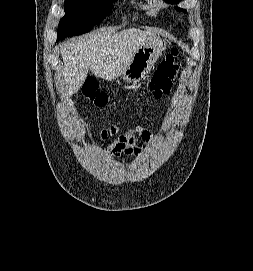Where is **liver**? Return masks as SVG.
<instances>
[{
	"instance_id": "obj_1",
	"label": "liver",
	"mask_w": 253,
	"mask_h": 271,
	"mask_svg": "<svg viewBox=\"0 0 253 271\" xmlns=\"http://www.w3.org/2000/svg\"><path fill=\"white\" fill-rule=\"evenodd\" d=\"M160 39L151 31L127 29L112 34L109 30L74 39L63 45L61 77L65 95L77 92L87 78L88 70L111 81L121 76L139 47Z\"/></svg>"
}]
</instances>
